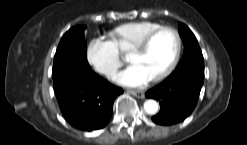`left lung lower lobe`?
Returning a JSON list of instances; mask_svg holds the SVG:
<instances>
[{
	"label": "left lung lower lobe",
	"mask_w": 247,
	"mask_h": 145,
	"mask_svg": "<svg viewBox=\"0 0 247 145\" xmlns=\"http://www.w3.org/2000/svg\"><path fill=\"white\" fill-rule=\"evenodd\" d=\"M204 81V60L180 62L162 83L146 93L160 102V111L152 120L161 125L183 121L194 110Z\"/></svg>",
	"instance_id": "1"
}]
</instances>
